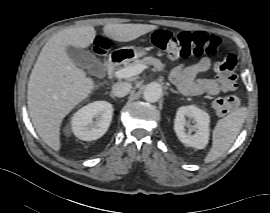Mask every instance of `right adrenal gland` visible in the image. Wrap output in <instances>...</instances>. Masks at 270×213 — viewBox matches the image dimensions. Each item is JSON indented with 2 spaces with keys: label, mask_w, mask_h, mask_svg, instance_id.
<instances>
[{
  "label": "right adrenal gland",
  "mask_w": 270,
  "mask_h": 213,
  "mask_svg": "<svg viewBox=\"0 0 270 213\" xmlns=\"http://www.w3.org/2000/svg\"><path fill=\"white\" fill-rule=\"evenodd\" d=\"M109 95L113 100H116L115 96L112 93H110Z\"/></svg>",
  "instance_id": "right-adrenal-gland-1"
}]
</instances>
